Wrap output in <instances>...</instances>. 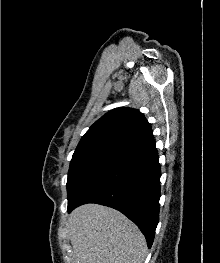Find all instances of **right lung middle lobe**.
Instances as JSON below:
<instances>
[{
  "label": "right lung middle lobe",
  "mask_w": 220,
  "mask_h": 263,
  "mask_svg": "<svg viewBox=\"0 0 220 263\" xmlns=\"http://www.w3.org/2000/svg\"><path fill=\"white\" fill-rule=\"evenodd\" d=\"M119 151L96 149L75 151L70 162L67 180L68 204L73 203L87 183Z\"/></svg>",
  "instance_id": "obj_1"
}]
</instances>
